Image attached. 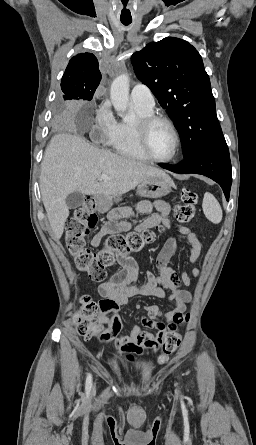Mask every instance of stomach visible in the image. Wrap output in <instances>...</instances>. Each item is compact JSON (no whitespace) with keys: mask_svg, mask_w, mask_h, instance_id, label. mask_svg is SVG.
<instances>
[{"mask_svg":"<svg viewBox=\"0 0 256 445\" xmlns=\"http://www.w3.org/2000/svg\"><path fill=\"white\" fill-rule=\"evenodd\" d=\"M174 186L173 181L169 176L156 175L150 177L138 185L137 193L144 198L157 199L168 195ZM120 199H111L102 195L95 198L96 208L100 212L108 210L113 201L117 202ZM108 217L111 221H117L122 218L121 209H114L109 212Z\"/></svg>","mask_w":256,"mask_h":445,"instance_id":"1","label":"stomach"}]
</instances>
